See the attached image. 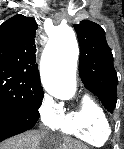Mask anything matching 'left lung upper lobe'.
Returning <instances> with one entry per match:
<instances>
[{
  "label": "left lung upper lobe",
  "mask_w": 124,
  "mask_h": 149,
  "mask_svg": "<svg viewBox=\"0 0 124 149\" xmlns=\"http://www.w3.org/2000/svg\"><path fill=\"white\" fill-rule=\"evenodd\" d=\"M80 44L79 74L85 87L98 96L104 107L112 112L116 106L117 73L105 31L91 21L74 24Z\"/></svg>",
  "instance_id": "1"
}]
</instances>
